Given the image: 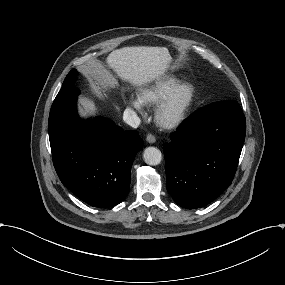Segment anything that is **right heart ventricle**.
<instances>
[{
	"instance_id": "e07e8e85",
	"label": "right heart ventricle",
	"mask_w": 285,
	"mask_h": 285,
	"mask_svg": "<svg viewBox=\"0 0 285 285\" xmlns=\"http://www.w3.org/2000/svg\"><path fill=\"white\" fill-rule=\"evenodd\" d=\"M180 82L181 79L177 76H161L141 88L138 93V98L148 106H156L167 93Z\"/></svg>"
}]
</instances>
